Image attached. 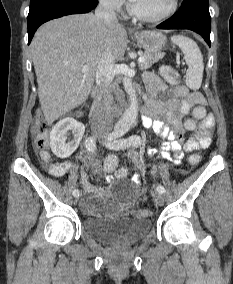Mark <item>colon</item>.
<instances>
[{
	"instance_id": "obj_1",
	"label": "colon",
	"mask_w": 233,
	"mask_h": 284,
	"mask_svg": "<svg viewBox=\"0 0 233 284\" xmlns=\"http://www.w3.org/2000/svg\"><path fill=\"white\" fill-rule=\"evenodd\" d=\"M161 76L170 84L176 85L180 82L179 73L171 66L163 65L160 67ZM206 111L202 106H196L193 111V117L185 122V128L188 131H194L197 128V121L204 119ZM51 131V124L42 116L39 115L34 126V145L39 151L43 160L47 161L49 158L48 145L49 133ZM200 161L199 154H192L189 157L191 164H197ZM105 171L112 174L117 179H123L127 176V169L124 167L116 156H109L105 160ZM140 215H147L150 213L148 209H139L137 211Z\"/></svg>"
}]
</instances>
